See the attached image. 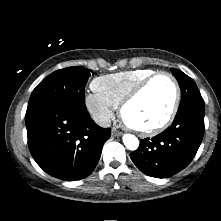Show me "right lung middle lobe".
<instances>
[{
    "mask_svg": "<svg viewBox=\"0 0 221 221\" xmlns=\"http://www.w3.org/2000/svg\"><path fill=\"white\" fill-rule=\"evenodd\" d=\"M90 72L83 67H68L53 72L33 90L27 110L61 102L84 105V88Z\"/></svg>",
    "mask_w": 221,
    "mask_h": 221,
    "instance_id": "1",
    "label": "right lung middle lobe"
}]
</instances>
